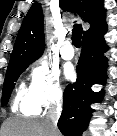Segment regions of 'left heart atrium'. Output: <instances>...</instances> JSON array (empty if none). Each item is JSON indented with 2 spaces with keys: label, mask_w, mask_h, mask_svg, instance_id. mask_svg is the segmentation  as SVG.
I'll list each match as a JSON object with an SVG mask.
<instances>
[{
  "label": "left heart atrium",
  "mask_w": 117,
  "mask_h": 136,
  "mask_svg": "<svg viewBox=\"0 0 117 136\" xmlns=\"http://www.w3.org/2000/svg\"><path fill=\"white\" fill-rule=\"evenodd\" d=\"M65 75L67 78H72L74 76V68L72 66H68L66 69H65Z\"/></svg>",
  "instance_id": "39dd6f15"
}]
</instances>
